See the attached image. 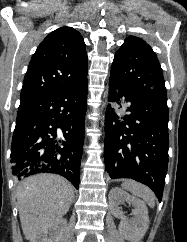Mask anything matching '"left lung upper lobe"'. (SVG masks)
<instances>
[{"mask_svg":"<svg viewBox=\"0 0 187 242\" xmlns=\"http://www.w3.org/2000/svg\"><path fill=\"white\" fill-rule=\"evenodd\" d=\"M110 78L153 101L167 105L165 81L152 48L141 38L129 36L117 50Z\"/></svg>","mask_w":187,"mask_h":242,"instance_id":"obj_1","label":"left lung upper lobe"}]
</instances>
